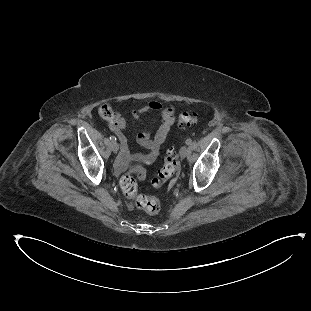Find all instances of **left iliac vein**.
I'll return each instance as SVG.
<instances>
[{"label": "left iliac vein", "instance_id": "4c4485c4", "mask_svg": "<svg viewBox=\"0 0 311 311\" xmlns=\"http://www.w3.org/2000/svg\"><path fill=\"white\" fill-rule=\"evenodd\" d=\"M179 153H180L181 159H184L188 154V148L186 146L181 147Z\"/></svg>", "mask_w": 311, "mask_h": 311}]
</instances>
